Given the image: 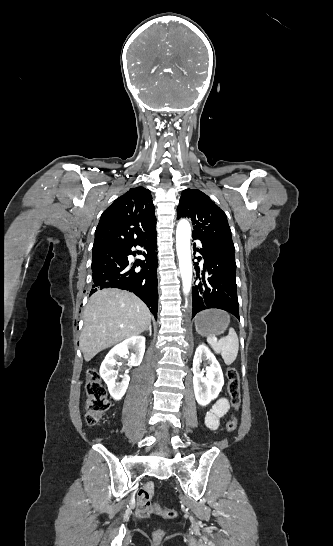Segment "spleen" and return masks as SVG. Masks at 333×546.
I'll return each instance as SVG.
<instances>
[{"label": "spleen", "mask_w": 333, "mask_h": 546, "mask_svg": "<svg viewBox=\"0 0 333 546\" xmlns=\"http://www.w3.org/2000/svg\"><path fill=\"white\" fill-rule=\"evenodd\" d=\"M224 313L229 317L226 312ZM207 342L216 353L221 354L226 365H231L236 360L239 351V339L233 328L229 329L226 337L219 340L215 337H208Z\"/></svg>", "instance_id": "3e777b00"}]
</instances>
